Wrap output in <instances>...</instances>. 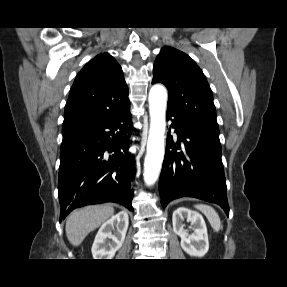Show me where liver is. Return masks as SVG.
I'll return each mask as SVG.
<instances>
[{"instance_id":"1","label":"liver","mask_w":287,"mask_h":287,"mask_svg":"<svg viewBox=\"0 0 287 287\" xmlns=\"http://www.w3.org/2000/svg\"><path fill=\"white\" fill-rule=\"evenodd\" d=\"M113 214L111 205H93L73 211L65 226L69 242L79 246L91 231L104 224Z\"/></svg>"}]
</instances>
